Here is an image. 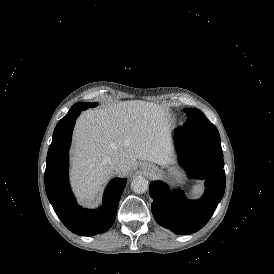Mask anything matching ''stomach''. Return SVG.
Wrapping results in <instances>:
<instances>
[{
	"label": "stomach",
	"instance_id": "stomach-1",
	"mask_svg": "<svg viewBox=\"0 0 274 274\" xmlns=\"http://www.w3.org/2000/svg\"><path fill=\"white\" fill-rule=\"evenodd\" d=\"M174 161L172 160L170 163L161 166V168L157 167L156 165L151 164V172L149 174L150 178H160L165 174V169L167 168L171 175L175 177L176 181L182 183L183 174L177 168L169 166V164H173Z\"/></svg>",
	"mask_w": 274,
	"mask_h": 274
}]
</instances>
